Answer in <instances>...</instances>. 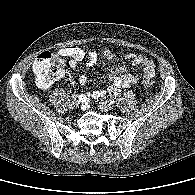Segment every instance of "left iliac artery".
<instances>
[{"instance_id": "left-iliac-artery-1", "label": "left iliac artery", "mask_w": 195, "mask_h": 195, "mask_svg": "<svg viewBox=\"0 0 195 195\" xmlns=\"http://www.w3.org/2000/svg\"><path fill=\"white\" fill-rule=\"evenodd\" d=\"M115 101L113 99H110V103L113 104Z\"/></svg>"}]
</instances>
